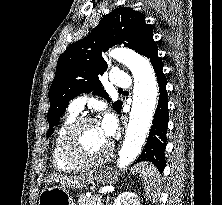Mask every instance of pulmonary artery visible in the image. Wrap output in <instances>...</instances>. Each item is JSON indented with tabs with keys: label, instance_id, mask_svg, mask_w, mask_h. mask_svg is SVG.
<instances>
[{
	"label": "pulmonary artery",
	"instance_id": "e3ab8cb5",
	"mask_svg": "<svg viewBox=\"0 0 222 205\" xmlns=\"http://www.w3.org/2000/svg\"><path fill=\"white\" fill-rule=\"evenodd\" d=\"M111 82L117 89H125L130 86L131 78L130 75L121 71H113L111 75ZM87 101V96L82 95L73 99L69 105V111L79 113L83 110L84 105Z\"/></svg>",
	"mask_w": 222,
	"mask_h": 205
}]
</instances>
